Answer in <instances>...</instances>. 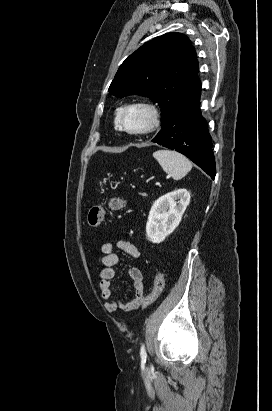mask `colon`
I'll list each match as a JSON object with an SVG mask.
<instances>
[{
  "instance_id": "colon-1",
  "label": "colon",
  "mask_w": 272,
  "mask_h": 411,
  "mask_svg": "<svg viewBox=\"0 0 272 411\" xmlns=\"http://www.w3.org/2000/svg\"><path fill=\"white\" fill-rule=\"evenodd\" d=\"M125 206V201L122 198H112L107 203L94 205L91 207L88 213V224L94 229L98 230L101 228L106 211H118L123 209ZM164 289V277L159 269H156L154 282L151 291L136 299L135 303L132 305L135 309L141 308L145 309L150 306L156 299L160 296Z\"/></svg>"
}]
</instances>
